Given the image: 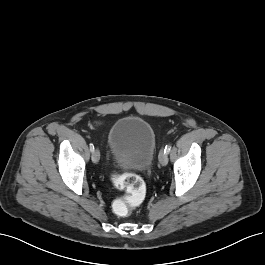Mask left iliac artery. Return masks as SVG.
Returning a JSON list of instances; mask_svg holds the SVG:
<instances>
[{
	"instance_id": "44dca946",
	"label": "left iliac artery",
	"mask_w": 265,
	"mask_h": 265,
	"mask_svg": "<svg viewBox=\"0 0 265 265\" xmlns=\"http://www.w3.org/2000/svg\"><path fill=\"white\" fill-rule=\"evenodd\" d=\"M170 150H171V145H166L164 152L168 154L170 152Z\"/></svg>"
}]
</instances>
